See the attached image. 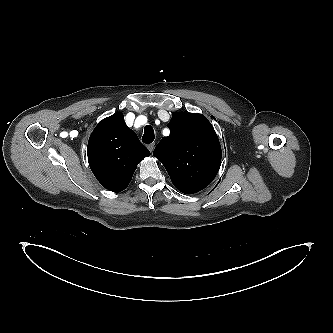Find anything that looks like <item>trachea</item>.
I'll return each instance as SVG.
<instances>
[{
	"label": "trachea",
	"mask_w": 333,
	"mask_h": 333,
	"mask_svg": "<svg viewBox=\"0 0 333 333\" xmlns=\"http://www.w3.org/2000/svg\"><path fill=\"white\" fill-rule=\"evenodd\" d=\"M155 138L154 130L150 125L145 126L142 141L146 144L152 143Z\"/></svg>",
	"instance_id": "1"
}]
</instances>
